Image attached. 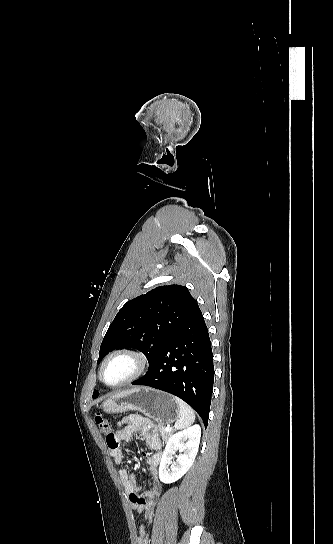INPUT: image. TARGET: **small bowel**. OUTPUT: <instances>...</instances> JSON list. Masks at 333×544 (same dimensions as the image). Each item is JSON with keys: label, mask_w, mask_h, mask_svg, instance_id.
<instances>
[{"label": "small bowel", "mask_w": 333, "mask_h": 544, "mask_svg": "<svg viewBox=\"0 0 333 544\" xmlns=\"http://www.w3.org/2000/svg\"><path fill=\"white\" fill-rule=\"evenodd\" d=\"M134 433H139L151 450V452H142L151 477L150 489L141 493L135 475L125 468L119 470V477L129 495L132 508L143 514L146 521V524H141L138 528L136 542L137 544H148V527L153 521L155 503L162 491V484L158 476V467L162 458V443L156 432V424L140 415H129L122 419L116 431L106 438V444L115 463L121 464L124 456L120 443L129 441Z\"/></svg>", "instance_id": "c3829d8e"}]
</instances>
